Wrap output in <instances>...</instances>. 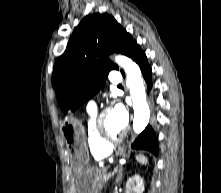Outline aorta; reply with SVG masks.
Instances as JSON below:
<instances>
[{"instance_id": "1", "label": "aorta", "mask_w": 221, "mask_h": 193, "mask_svg": "<svg viewBox=\"0 0 221 193\" xmlns=\"http://www.w3.org/2000/svg\"><path fill=\"white\" fill-rule=\"evenodd\" d=\"M115 62L126 73V85L130 90L134 109L133 130L135 133H141L150 118V109L146 101V91L141 70L135 62L124 55H116Z\"/></svg>"}]
</instances>
